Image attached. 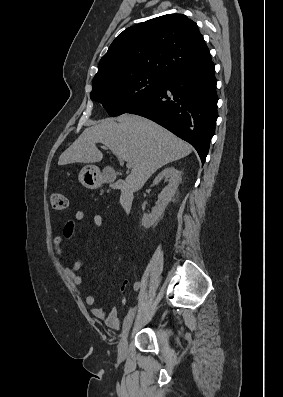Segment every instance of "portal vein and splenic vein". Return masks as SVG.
I'll use <instances>...</instances> for the list:
<instances>
[{
    "label": "portal vein and splenic vein",
    "mask_w": 283,
    "mask_h": 397,
    "mask_svg": "<svg viewBox=\"0 0 283 397\" xmlns=\"http://www.w3.org/2000/svg\"><path fill=\"white\" fill-rule=\"evenodd\" d=\"M119 158H120V157H119ZM124 161H126L124 158H120V162H124ZM126 166H127L128 168L131 167L130 163H128V162H127Z\"/></svg>",
    "instance_id": "1"
}]
</instances>
